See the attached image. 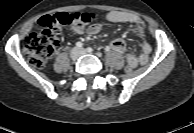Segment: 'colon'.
Segmentation results:
<instances>
[{"mask_svg":"<svg viewBox=\"0 0 194 133\" xmlns=\"http://www.w3.org/2000/svg\"><path fill=\"white\" fill-rule=\"evenodd\" d=\"M95 18L90 12L56 13L43 16L39 20L41 29L29 34L23 43V51L29 63L36 67H43L52 56L58 45V35L65 27L76 32L82 31ZM132 66L123 68L125 75L132 73Z\"/></svg>","mask_w":194,"mask_h":133,"instance_id":"5ec220e1","label":"colon"}]
</instances>
